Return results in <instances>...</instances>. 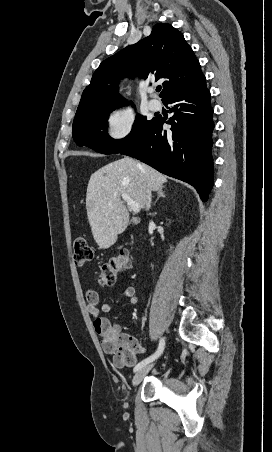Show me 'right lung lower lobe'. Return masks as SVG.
I'll return each mask as SVG.
<instances>
[{
	"label": "right lung lower lobe",
	"instance_id": "98d812e1",
	"mask_svg": "<svg viewBox=\"0 0 272 452\" xmlns=\"http://www.w3.org/2000/svg\"><path fill=\"white\" fill-rule=\"evenodd\" d=\"M171 104L172 127L155 117L142 136L121 154L134 157L156 170L191 184L206 201L213 187V109L205 76L163 101Z\"/></svg>",
	"mask_w": 272,
	"mask_h": 452
}]
</instances>
